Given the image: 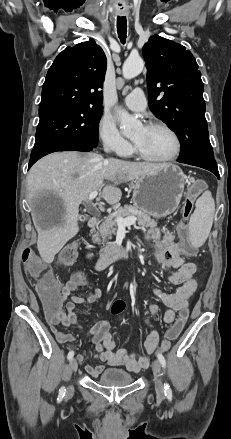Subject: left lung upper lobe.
Returning a JSON list of instances; mask_svg holds the SVG:
<instances>
[{
	"mask_svg": "<svg viewBox=\"0 0 231 439\" xmlns=\"http://www.w3.org/2000/svg\"><path fill=\"white\" fill-rule=\"evenodd\" d=\"M147 67L150 110L181 142L179 160L217 165L205 119L204 85L192 53L181 44L158 35L143 47Z\"/></svg>",
	"mask_w": 231,
	"mask_h": 439,
	"instance_id": "obj_1",
	"label": "left lung upper lobe"
}]
</instances>
